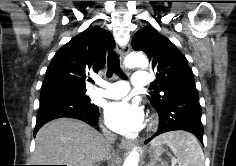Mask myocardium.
<instances>
[{
    "mask_svg": "<svg viewBox=\"0 0 236 166\" xmlns=\"http://www.w3.org/2000/svg\"><path fill=\"white\" fill-rule=\"evenodd\" d=\"M152 125H153V122L150 123V126H152Z\"/></svg>",
    "mask_w": 236,
    "mask_h": 166,
    "instance_id": "myocardium-1",
    "label": "myocardium"
}]
</instances>
